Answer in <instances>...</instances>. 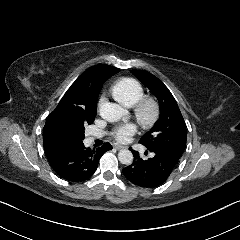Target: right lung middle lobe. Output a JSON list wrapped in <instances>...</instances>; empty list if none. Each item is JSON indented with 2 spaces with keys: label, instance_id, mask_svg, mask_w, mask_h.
Here are the masks:
<instances>
[{
  "label": "right lung middle lobe",
  "instance_id": "right-lung-middle-lobe-1",
  "mask_svg": "<svg viewBox=\"0 0 240 240\" xmlns=\"http://www.w3.org/2000/svg\"><path fill=\"white\" fill-rule=\"evenodd\" d=\"M95 115L75 114L62 117L56 126L55 137L61 147H76L82 144L85 126L92 124Z\"/></svg>",
  "mask_w": 240,
  "mask_h": 240
}]
</instances>
